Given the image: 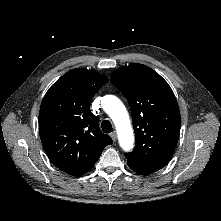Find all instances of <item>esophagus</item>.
I'll use <instances>...</instances> for the list:
<instances>
[{"mask_svg": "<svg viewBox=\"0 0 221 221\" xmlns=\"http://www.w3.org/2000/svg\"><path fill=\"white\" fill-rule=\"evenodd\" d=\"M112 140L115 142L117 140V133L114 131L110 134Z\"/></svg>", "mask_w": 221, "mask_h": 221, "instance_id": "34e87169", "label": "esophagus"}]
</instances>
